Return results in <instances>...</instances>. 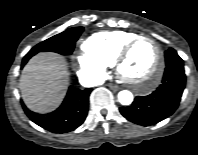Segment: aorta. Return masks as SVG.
Masks as SVG:
<instances>
[{
    "mask_svg": "<svg viewBox=\"0 0 198 155\" xmlns=\"http://www.w3.org/2000/svg\"><path fill=\"white\" fill-rule=\"evenodd\" d=\"M118 101L122 105H130L133 102V94L128 90H122L118 93Z\"/></svg>",
    "mask_w": 198,
    "mask_h": 155,
    "instance_id": "762f6f07",
    "label": "aorta"
}]
</instances>
